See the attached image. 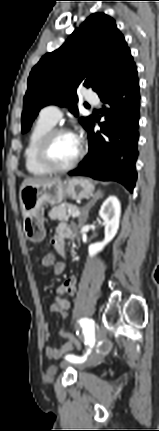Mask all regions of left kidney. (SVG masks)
I'll return each instance as SVG.
<instances>
[{
  "mask_svg": "<svg viewBox=\"0 0 159 431\" xmlns=\"http://www.w3.org/2000/svg\"><path fill=\"white\" fill-rule=\"evenodd\" d=\"M100 217L105 223V238L102 242L90 244L88 247L89 256L93 257L115 237L119 229L121 216V205L117 197H108L99 211Z\"/></svg>",
  "mask_w": 159,
  "mask_h": 431,
  "instance_id": "left-kidney-1",
  "label": "left kidney"
}]
</instances>
